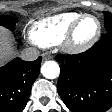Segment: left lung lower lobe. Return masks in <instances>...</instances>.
Instances as JSON below:
<instances>
[{
  "label": "left lung lower lobe",
  "instance_id": "left-lung-lower-lobe-1",
  "mask_svg": "<svg viewBox=\"0 0 112 112\" xmlns=\"http://www.w3.org/2000/svg\"><path fill=\"white\" fill-rule=\"evenodd\" d=\"M57 91L73 112H105L112 106V31L87 51L58 54Z\"/></svg>",
  "mask_w": 112,
  "mask_h": 112
}]
</instances>
